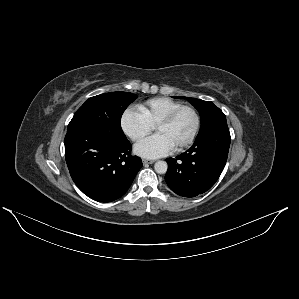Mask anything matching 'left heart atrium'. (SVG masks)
<instances>
[{"mask_svg": "<svg viewBox=\"0 0 299 299\" xmlns=\"http://www.w3.org/2000/svg\"><path fill=\"white\" fill-rule=\"evenodd\" d=\"M174 149L171 142L162 134L145 138L135 145L134 151L145 158L162 157Z\"/></svg>", "mask_w": 299, "mask_h": 299, "instance_id": "left-heart-atrium-1", "label": "left heart atrium"}]
</instances>
